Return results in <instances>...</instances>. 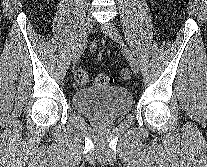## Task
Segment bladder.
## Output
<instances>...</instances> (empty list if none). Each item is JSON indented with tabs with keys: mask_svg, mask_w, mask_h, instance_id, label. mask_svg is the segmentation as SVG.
<instances>
[{
	"mask_svg": "<svg viewBox=\"0 0 207 167\" xmlns=\"http://www.w3.org/2000/svg\"><path fill=\"white\" fill-rule=\"evenodd\" d=\"M73 104L82 114L96 120H115L132 108L133 98L122 86L86 87L73 93Z\"/></svg>",
	"mask_w": 207,
	"mask_h": 167,
	"instance_id": "bladder-1",
	"label": "bladder"
}]
</instances>
